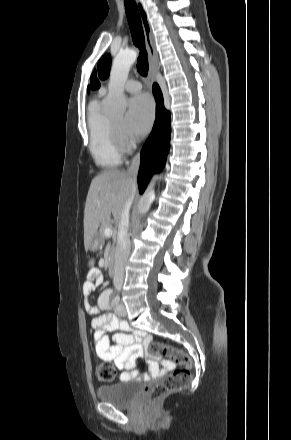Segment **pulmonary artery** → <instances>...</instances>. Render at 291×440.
Masks as SVG:
<instances>
[{"mask_svg": "<svg viewBox=\"0 0 291 440\" xmlns=\"http://www.w3.org/2000/svg\"><path fill=\"white\" fill-rule=\"evenodd\" d=\"M141 87H142V85H141V83H140L139 81H137V80H132V79H131V80H128V81L126 82L125 86H124V88H125L126 91H128V92H132V93L140 91V90H141ZM105 92H106L105 88L102 87V88L100 89V93L103 95V94H105Z\"/></svg>", "mask_w": 291, "mask_h": 440, "instance_id": "e3ab8cb5", "label": "pulmonary artery"}]
</instances>
